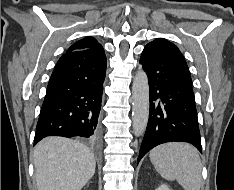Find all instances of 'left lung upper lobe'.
Here are the masks:
<instances>
[{"instance_id":"obj_1","label":"left lung upper lobe","mask_w":234,"mask_h":190,"mask_svg":"<svg viewBox=\"0 0 234 190\" xmlns=\"http://www.w3.org/2000/svg\"><path fill=\"white\" fill-rule=\"evenodd\" d=\"M154 42V41H152ZM150 42V43H152ZM180 77L183 81V83L192 90V82H191V76H190V72H189V68L187 66V63L184 59V57L182 58V63L180 65Z\"/></svg>"}]
</instances>
